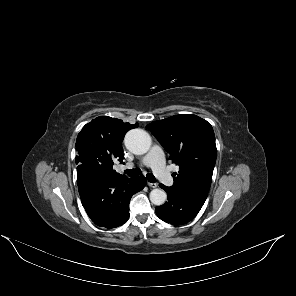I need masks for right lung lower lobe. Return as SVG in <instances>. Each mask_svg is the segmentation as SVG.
<instances>
[{
    "mask_svg": "<svg viewBox=\"0 0 296 296\" xmlns=\"http://www.w3.org/2000/svg\"><path fill=\"white\" fill-rule=\"evenodd\" d=\"M77 173L83 207L96 225L108 229L118 227L128 220L132 195L146 185L144 176L105 179L83 165H78Z\"/></svg>",
    "mask_w": 296,
    "mask_h": 296,
    "instance_id": "1",
    "label": "right lung lower lobe"
}]
</instances>
